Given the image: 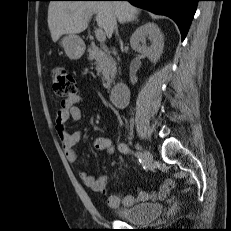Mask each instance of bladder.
Masks as SVG:
<instances>
[{"mask_svg":"<svg viewBox=\"0 0 231 231\" xmlns=\"http://www.w3.org/2000/svg\"><path fill=\"white\" fill-rule=\"evenodd\" d=\"M163 211L160 203H134L113 209L112 212L122 221L132 224H147L156 220Z\"/></svg>","mask_w":231,"mask_h":231,"instance_id":"1","label":"bladder"}]
</instances>
